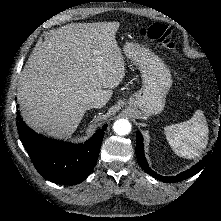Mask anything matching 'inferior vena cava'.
<instances>
[{
	"mask_svg": "<svg viewBox=\"0 0 221 221\" xmlns=\"http://www.w3.org/2000/svg\"><path fill=\"white\" fill-rule=\"evenodd\" d=\"M86 109H90V108H101L104 106L103 102L100 100H89L86 103Z\"/></svg>",
	"mask_w": 221,
	"mask_h": 221,
	"instance_id": "602c4592",
	"label": "inferior vena cava"
}]
</instances>
